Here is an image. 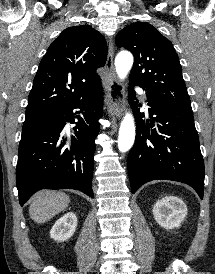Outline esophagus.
Segmentation results:
<instances>
[{
	"instance_id": "obj_1",
	"label": "esophagus",
	"mask_w": 215,
	"mask_h": 274,
	"mask_svg": "<svg viewBox=\"0 0 215 274\" xmlns=\"http://www.w3.org/2000/svg\"><path fill=\"white\" fill-rule=\"evenodd\" d=\"M113 44L110 42L108 56L105 65L107 74L106 98L105 103L108 107V113L120 118L124 111L125 99L123 85L115 74L113 67Z\"/></svg>"
}]
</instances>
